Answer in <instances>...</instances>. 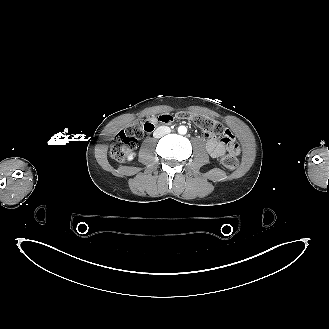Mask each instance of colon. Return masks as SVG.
<instances>
[{
    "instance_id": "colon-1",
    "label": "colon",
    "mask_w": 329,
    "mask_h": 329,
    "mask_svg": "<svg viewBox=\"0 0 329 329\" xmlns=\"http://www.w3.org/2000/svg\"><path fill=\"white\" fill-rule=\"evenodd\" d=\"M179 118H186L193 121L199 128L207 135L217 137L222 136V141L230 148H236L233 135L224 127L223 124L208 116L180 113ZM153 120L146 122L135 121L127 128L121 130L114 138L111 147L110 155L116 161H123L128 156L129 152L135 147L139 138L144 132L151 131L154 127ZM223 165L229 169L234 170L238 166V159L234 154H227L222 159Z\"/></svg>"
}]
</instances>
